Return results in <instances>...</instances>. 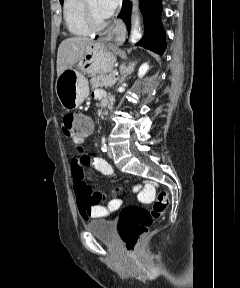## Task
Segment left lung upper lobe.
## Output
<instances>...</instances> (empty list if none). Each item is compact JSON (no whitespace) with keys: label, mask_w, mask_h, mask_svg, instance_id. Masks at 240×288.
<instances>
[{"label":"left lung upper lobe","mask_w":240,"mask_h":288,"mask_svg":"<svg viewBox=\"0 0 240 288\" xmlns=\"http://www.w3.org/2000/svg\"><path fill=\"white\" fill-rule=\"evenodd\" d=\"M60 3H63V0H60Z\"/></svg>","instance_id":"left-lung-upper-lobe-1"}]
</instances>
